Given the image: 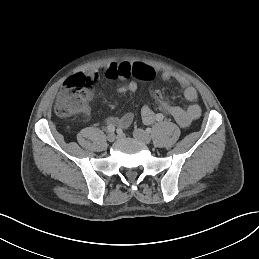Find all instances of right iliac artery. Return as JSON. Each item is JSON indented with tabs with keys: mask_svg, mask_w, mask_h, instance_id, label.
Here are the masks:
<instances>
[{
	"mask_svg": "<svg viewBox=\"0 0 259 259\" xmlns=\"http://www.w3.org/2000/svg\"><path fill=\"white\" fill-rule=\"evenodd\" d=\"M107 130H108V132H114L115 131L114 125H112V124L108 125Z\"/></svg>",
	"mask_w": 259,
	"mask_h": 259,
	"instance_id": "right-iliac-artery-1",
	"label": "right iliac artery"
}]
</instances>
